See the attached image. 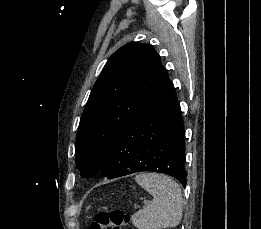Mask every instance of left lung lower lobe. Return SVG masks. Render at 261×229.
I'll return each instance as SVG.
<instances>
[{
	"label": "left lung lower lobe",
	"instance_id": "1",
	"mask_svg": "<svg viewBox=\"0 0 261 229\" xmlns=\"http://www.w3.org/2000/svg\"><path fill=\"white\" fill-rule=\"evenodd\" d=\"M185 131L175 89L163 84L126 125L98 173L108 179L155 171L186 186Z\"/></svg>",
	"mask_w": 261,
	"mask_h": 229
}]
</instances>
